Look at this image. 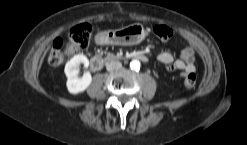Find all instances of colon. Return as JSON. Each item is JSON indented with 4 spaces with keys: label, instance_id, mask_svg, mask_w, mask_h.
<instances>
[{
    "label": "colon",
    "instance_id": "5ec220e1",
    "mask_svg": "<svg viewBox=\"0 0 247 145\" xmlns=\"http://www.w3.org/2000/svg\"><path fill=\"white\" fill-rule=\"evenodd\" d=\"M153 31L162 41L169 40L174 34L173 29L167 25H157ZM91 33V26L85 23L73 27L67 37L55 39L48 57L49 63L53 66H59L75 52L85 49L90 42ZM195 84V73H186L184 75V86L190 89L193 88Z\"/></svg>",
    "mask_w": 247,
    "mask_h": 145
}]
</instances>
